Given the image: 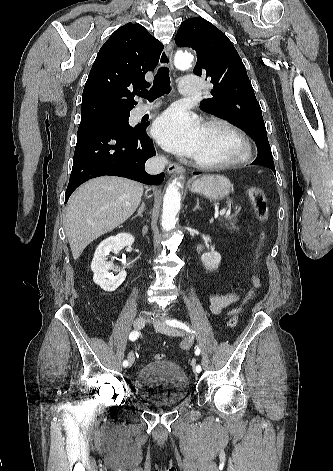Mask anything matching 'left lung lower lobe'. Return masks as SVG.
Segmentation results:
<instances>
[{
  "label": "left lung lower lobe",
  "instance_id": "obj_1",
  "mask_svg": "<svg viewBox=\"0 0 333 471\" xmlns=\"http://www.w3.org/2000/svg\"><path fill=\"white\" fill-rule=\"evenodd\" d=\"M252 164H260V165L269 167L275 173V166H274L273 158L271 157H257L256 160L252 162Z\"/></svg>",
  "mask_w": 333,
  "mask_h": 471
}]
</instances>
